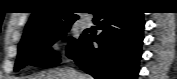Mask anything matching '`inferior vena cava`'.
I'll return each mask as SVG.
<instances>
[{
  "label": "inferior vena cava",
  "mask_w": 177,
  "mask_h": 79,
  "mask_svg": "<svg viewBox=\"0 0 177 79\" xmlns=\"http://www.w3.org/2000/svg\"><path fill=\"white\" fill-rule=\"evenodd\" d=\"M76 78H78V79H81L82 77H80V75L78 74V73H76Z\"/></svg>",
  "instance_id": "1"
}]
</instances>
